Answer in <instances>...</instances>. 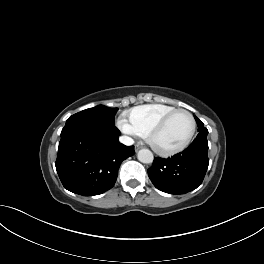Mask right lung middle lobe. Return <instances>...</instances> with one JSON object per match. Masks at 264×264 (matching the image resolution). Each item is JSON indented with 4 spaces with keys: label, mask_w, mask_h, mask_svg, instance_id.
<instances>
[{
    "label": "right lung middle lobe",
    "mask_w": 264,
    "mask_h": 264,
    "mask_svg": "<svg viewBox=\"0 0 264 264\" xmlns=\"http://www.w3.org/2000/svg\"><path fill=\"white\" fill-rule=\"evenodd\" d=\"M116 111L117 108H109L103 105H99L70 116L67 119L66 124L72 122H85L102 126H115L114 115Z\"/></svg>",
    "instance_id": "dd1d6c3e"
}]
</instances>
